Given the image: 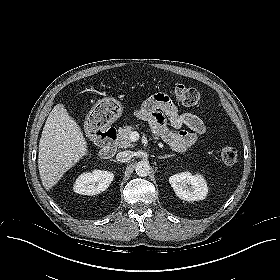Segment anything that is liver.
Segmentation results:
<instances>
[{
  "mask_svg": "<svg viewBox=\"0 0 280 280\" xmlns=\"http://www.w3.org/2000/svg\"><path fill=\"white\" fill-rule=\"evenodd\" d=\"M87 153L80 126L63 104H57L45 122L39 142L38 169L43 186L51 189Z\"/></svg>",
  "mask_w": 280,
  "mask_h": 280,
  "instance_id": "liver-1",
  "label": "liver"
}]
</instances>
